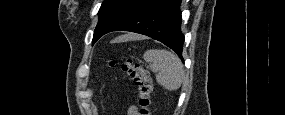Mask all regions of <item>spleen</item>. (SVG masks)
Instances as JSON below:
<instances>
[{"label": "spleen", "instance_id": "3e777b00", "mask_svg": "<svg viewBox=\"0 0 285 115\" xmlns=\"http://www.w3.org/2000/svg\"><path fill=\"white\" fill-rule=\"evenodd\" d=\"M123 39V38H120ZM150 70L156 74V81L169 91L178 90L183 82L184 68L181 60L165 49H150L144 53Z\"/></svg>", "mask_w": 285, "mask_h": 115}]
</instances>
